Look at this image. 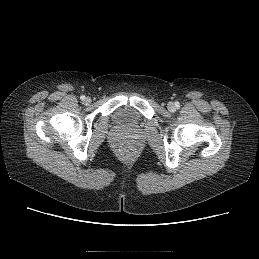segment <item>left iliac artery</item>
<instances>
[{
    "label": "left iliac artery",
    "instance_id": "left-iliac-artery-1",
    "mask_svg": "<svg viewBox=\"0 0 259 259\" xmlns=\"http://www.w3.org/2000/svg\"><path fill=\"white\" fill-rule=\"evenodd\" d=\"M175 105H176V107H179V103H176Z\"/></svg>",
    "mask_w": 259,
    "mask_h": 259
}]
</instances>
